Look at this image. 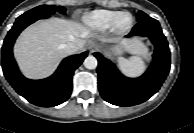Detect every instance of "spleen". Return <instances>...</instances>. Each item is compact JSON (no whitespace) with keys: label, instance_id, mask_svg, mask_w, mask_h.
I'll return each mask as SVG.
<instances>
[{"label":"spleen","instance_id":"3e777b00","mask_svg":"<svg viewBox=\"0 0 194 133\" xmlns=\"http://www.w3.org/2000/svg\"><path fill=\"white\" fill-rule=\"evenodd\" d=\"M118 65L121 71L129 77H137L145 70V63L141 56H133L131 58L120 57Z\"/></svg>","mask_w":194,"mask_h":133}]
</instances>
